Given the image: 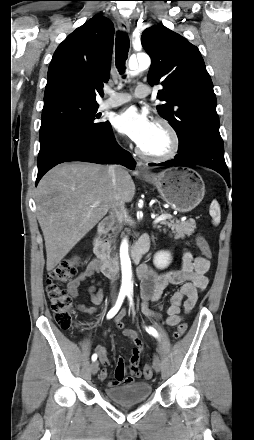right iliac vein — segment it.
<instances>
[{"mask_svg":"<svg viewBox=\"0 0 254 440\" xmlns=\"http://www.w3.org/2000/svg\"><path fill=\"white\" fill-rule=\"evenodd\" d=\"M99 370V362L98 361H94L91 364V372L93 375H95Z\"/></svg>","mask_w":254,"mask_h":440,"instance_id":"63e3f726","label":"right iliac vein"}]
</instances>
